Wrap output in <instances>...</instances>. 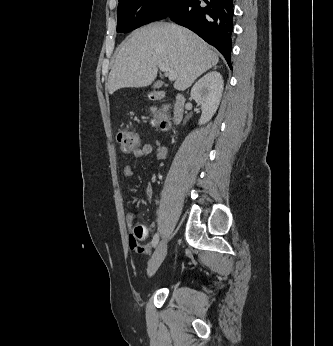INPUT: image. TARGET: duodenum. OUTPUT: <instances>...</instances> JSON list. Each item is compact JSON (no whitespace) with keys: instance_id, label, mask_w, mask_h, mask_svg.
I'll return each mask as SVG.
<instances>
[{"instance_id":"410a0bca","label":"duodenum","mask_w":333,"mask_h":346,"mask_svg":"<svg viewBox=\"0 0 333 346\" xmlns=\"http://www.w3.org/2000/svg\"><path fill=\"white\" fill-rule=\"evenodd\" d=\"M163 97L162 93H156L154 98L161 99ZM185 107V96L182 93H177L174 102V113H173V124L177 125L184 114Z\"/></svg>"}]
</instances>
